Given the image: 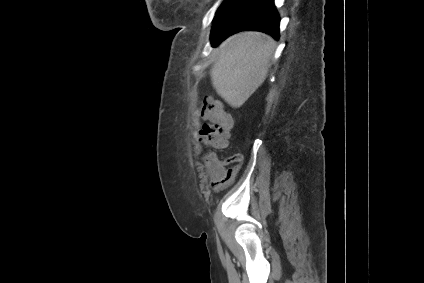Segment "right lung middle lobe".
Wrapping results in <instances>:
<instances>
[{"label":"right lung middle lobe","instance_id":"1","mask_svg":"<svg viewBox=\"0 0 424 283\" xmlns=\"http://www.w3.org/2000/svg\"><path fill=\"white\" fill-rule=\"evenodd\" d=\"M226 3H227V1H225L222 5H221V7L218 9V11H217V15L222 11V9L225 7V5H226ZM216 15V16H217ZM215 16V17H216Z\"/></svg>","mask_w":424,"mask_h":283}]
</instances>
